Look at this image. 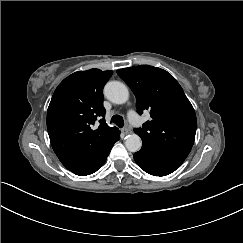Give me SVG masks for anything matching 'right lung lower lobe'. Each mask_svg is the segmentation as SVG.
Listing matches in <instances>:
<instances>
[{"instance_id":"obj_1","label":"right lung lower lobe","mask_w":243,"mask_h":243,"mask_svg":"<svg viewBox=\"0 0 243 243\" xmlns=\"http://www.w3.org/2000/svg\"><path fill=\"white\" fill-rule=\"evenodd\" d=\"M120 139V137L116 140L118 141ZM115 141V142H116ZM114 142V143H115ZM114 143L111 145V147L104 153L102 154L94 163H92L89 167L80 170L78 172H74L76 175H80V176H85V175H89L92 174L94 172H96L106 161L107 156L110 153V150L112 148V146L114 145Z\"/></svg>"}]
</instances>
